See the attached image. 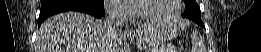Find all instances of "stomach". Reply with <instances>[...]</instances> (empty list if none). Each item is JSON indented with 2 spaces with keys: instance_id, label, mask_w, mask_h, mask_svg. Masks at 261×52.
<instances>
[{
  "instance_id": "stomach-1",
  "label": "stomach",
  "mask_w": 261,
  "mask_h": 52,
  "mask_svg": "<svg viewBox=\"0 0 261 52\" xmlns=\"http://www.w3.org/2000/svg\"><path fill=\"white\" fill-rule=\"evenodd\" d=\"M149 34L139 39L141 52H169L160 32L154 27H146Z\"/></svg>"
}]
</instances>
